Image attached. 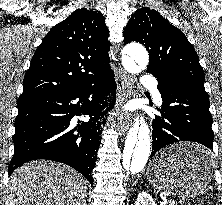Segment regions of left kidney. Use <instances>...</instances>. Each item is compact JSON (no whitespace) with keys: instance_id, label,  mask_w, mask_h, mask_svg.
<instances>
[{"instance_id":"5707ae66","label":"left kidney","mask_w":222,"mask_h":205,"mask_svg":"<svg viewBox=\"0 0 222 205\" xmlns=\"http://www.w3.org/2000/svg\"><path fill=\"white\" fill-rule=\"evenodd\" d=\"M135 205H156L153 198L147 192H140L137 196Z\"/></svg>"}]
</instances>
